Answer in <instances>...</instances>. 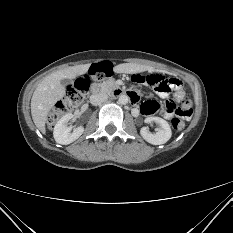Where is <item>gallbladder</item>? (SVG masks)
<instances>
[{"label": "gallbladder", "instance_id": "1", "mask_svg": "<svg viewBox=\"0 0 233 233\" xmlns=\"http://www.w3.org/2000/svg\"><path fill=\"white\" fill-rule=\"evenodd\" d=\"M61 84L63 86H68L69 84H71V80L70 79H62Z\"/></svg>", "mask_w": 233, "mask_h": 233}]
</instances>
